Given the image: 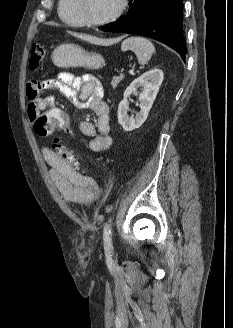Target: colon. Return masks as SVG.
<instances>
[{
  "instance_id": "colon-1",
  "label": "colon",
  "mask_w": 233,
  "mask_h": 328,
  "mask_svg": "<svg viewBox=\"0 0 233 328\" xmlns=\"http://www.w3.org/2000/svg\"><path fill=\"white\" fill-rule=\"evenodd\" d=\"M45 58V49L40 44H34L31 49L29 67L31 69L38 68ZM70 125V117L68 113L60 108H55L39 115L34 120V130L39 136L54 137L58 132H65ZM53 149L58 156L79 171V163L69 149L55 139Z\"/></svg>"
}]
</instances>
